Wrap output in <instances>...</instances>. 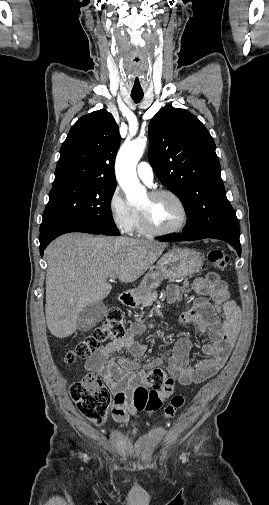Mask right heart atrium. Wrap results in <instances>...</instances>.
Returning a JSON list of instances; mask_svg holds the SVG:
<instances>
[{
	"instance_id": "right-heart-atrium-1",
	"label": "right heart atrium",
	"mask_w": 269,
	"mask_h": 505,
	"mask_svg": "<svg viewBox=\"0 0 269 505\" xmlns=\"http://www.w3.org/2000/svg\"><path fill=\"white\" fill-rule=\"evenodd\" d=\"M108 211L113 224L119 231L123 233L131 232L136 217V209L126 201L119 187H115L109 196Z\"/></svg>"
}]
</instances>
